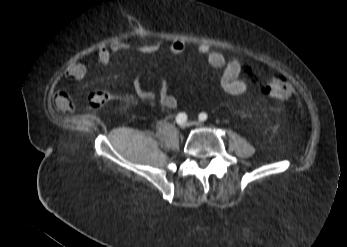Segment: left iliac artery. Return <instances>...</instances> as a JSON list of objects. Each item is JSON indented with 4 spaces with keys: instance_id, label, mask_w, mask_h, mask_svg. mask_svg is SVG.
Returning <instances> with one entry per match:
<instances>
[{
    "instance_id": "44dca946",
    "label": "left iliac artery",
    "mask_w": 347,
    "mask_h": 247,
    "mask_svg": "<svg viewBox=\"0 0 347 247\" xmlns=\"http://www.w3.org/2000/svg\"><path fill=\"white\" fill-rule=\"evenodd\" d=\"M207 119V114L206 113H200L199 114V120L200 121H205Z\"/></svg>"
}]
</instances>
